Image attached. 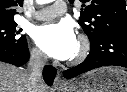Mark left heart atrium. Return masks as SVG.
Wrapping results in <instances>:
<instances>
[{"label": "left heart atrium", "mask_w": 127, "mask_h": 92, "mask_svg": "<svg viewBox=\"0 0 127 92\" xmlns=\"http://www.w3.org/2000/svg\"><path fill=\"white\" fill-rule=\"evenodd\" d=\"M39 47L50 57L67 60L77 49V39L72 26L66 22L51 23L35 31Z\"/></svg>", "instance_id": "39dd6f15"}]
</instances>
